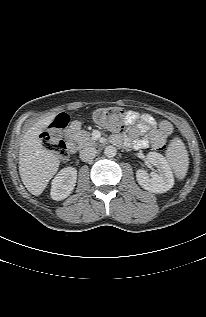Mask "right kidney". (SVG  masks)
Returning <instances> with one entry per match:
<instances>
[{
	"label": "right kidney",
	"mask_w": 206,
	"mask_h": 317,
	"mask_svg": "<svg viewBox=\"0 0 206 317\" xmlns=\"http://www.w3.org/2000/svg\"><path fill=\"white\" fill-rule=\"evenodd\" d=\"M77 170L73 167H66L60 170L52 180L51 197L60 201L67 198L76 185Z\"/></svg>",
	"instance_id": "right-kidney-1"
}]
</instances>
